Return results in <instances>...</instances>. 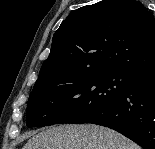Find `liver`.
Returning a JSON list of instances; mask_svg holds the SVG:
<instances>
[{"mask_svg": "<svg viewBox=\"0 0 155 149\" xmlns=\"http://www.w3.org/2000/svg\"><path fill=\"white\" fill-rule=\"evenodd\" d=\"M23 149H140L117 133L98 125H60L34 135Z\"/></svg>", "mask_w": 155, "mask_h": 149, "instance_id": "6515ba94", "label": "liver"}]
</instances>
